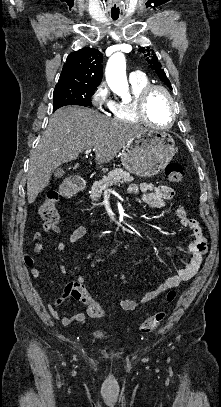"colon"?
Returning a JSON list of instances; mask_svg holds the SVG:
<instances>
[{
    "label": "colon",
    "mask_w": 221,
    "mask_h": 407,
    "mask_svg": "<svg viewBox=\"0 0 221 407\" xmlns=\"http://www.w3.org/2000/svg\"><path fill=\"white\" fill-rule=\"evenodd\" d=\"M164 173L169 181L179 183L183 179V167L178 162H169L164 170ZM58 194L54 191H47L44 200L40 206L39 214L43 222V230L47 233H57L59 231V212L57 208ZM71 291L80 302L87 306V313L91 317H104L105 311L102 307L92 300L85 285L81 282H74L71 286ZM175 299V291L169 290L166 295L168 303ZM166 311H159L147 318L140 326L141 333L148 334L155 330L165 319Z\"/></svg>",
    "instance_id": "1"
}]
</instances>
